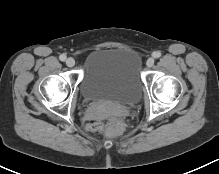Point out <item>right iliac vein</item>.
Segmentation results:
<instances>
[{"instance_id": "obj_1", "label": "right iliac vein", "mask_w": 219, "mask_h": 174, "mask_svg": "<svg viewBox=\"0 0 219 174\" xmlns=\"http://www.w3.org/2000/svg\"><path fill=\"white\" fill-rule=\"evenodd\" d=\"M66 65L68 67H73L75 65V60L72 57L66 59Z\"/></svg>"}]
</instances>
